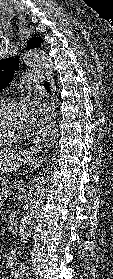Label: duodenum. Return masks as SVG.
Masks as SVG:
<instances>
[{
	"label": "duodenum",
	"mask_w": 113,
	"mask_h": 279,
	"mask_svg": "<svg viewBox=\"0 0 113 279\" xmlns=\"http://www.w3.org/2000/svg\"><path fill=\"white\" fill-rule=\"evenodd\" d=\"M9 229L12 234H16L19 230L20 222L18 212L12 211L8 216Z\"/></svg>",
	"instance_id": "obj_1"
}]
</instances>
